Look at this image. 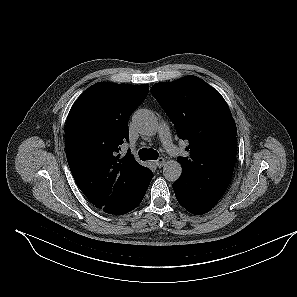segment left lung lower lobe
<instances>
[{
  "label": "left lung lower lobe",
  "mask_w": 297,
  "mask_h": 297,
  "mask_svg": "<svg viewBox=\"0 0 297 297\" xmlns=\"http://www.w3.org/2000/svg\"><path fill=\"white\" fill-rule=\"evenodd\" d=\"M184 182L185 179L181 178L180 180H177L173 184V189L176 195V198L178 202L186 208L190 213L195 214V215H202L204 213L209 212L213 206L219 201V200H214V201H202L193 205H187L186 203L183 202V197H184Z\"/></svg>",
  "instance_id": "0a47b994"
}]
</instances>
